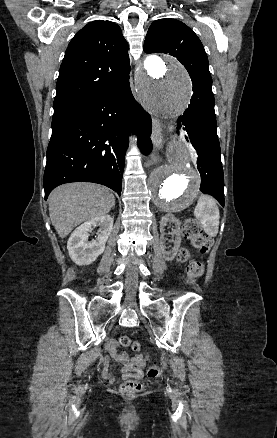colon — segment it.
Masks as SVG:
<instances>
[{
  "instance_id": "colon-1",
  "label": "colon",
  "mask_w": 277,
  "mask_h": 438,
  "mask_svg": "<svg viewBox=\"0 0 277 438\" xmlns=\"http://www.w3.org/2000/svg\"><path fill=\"white\" fill-rule=\"evenodd\" d=\"M182 235L188 239L194 248L207 251L210 248L211 241L204 231L202 225L195 219H187L181 228ZM179 261L187 265L188 276L187 281L194 283L197 278L201 277L204 273V264L200 261L191 260L189 250L182 248L178 253ZM121 345L128 347L132 346L135 351L140 349L137 343H132L131 339L127 336H122L119 339ZM161 369L159 366H151L147 370V376L149 378H157L160 376ZM141 380H122L121 381V394L126 398H144L145 390Z\"/></svg>"
}]
</instances>
